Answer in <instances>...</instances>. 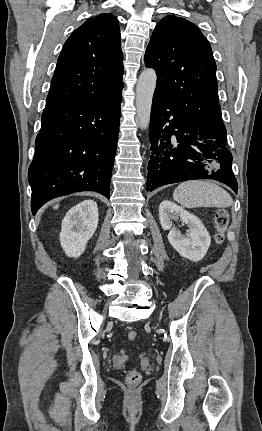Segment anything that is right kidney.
<instances>
[{"label":"right kidney","instance_id":"1","mask_svg":"<svg viewBox=\"0 0 262 431\" xmlns=\"http://www.w3.org/2000/svg\"><path fill=\"white\" fill-rule=\"evenodd\" d=\"M98 207L94 200H84L72 207L62 221L60 243L69 257L78 258L97 229Z\"/></svg>","mask_w":262,"mask_h":431}]
</instances>
